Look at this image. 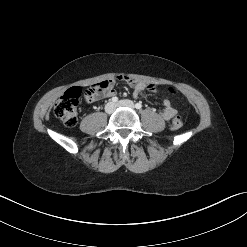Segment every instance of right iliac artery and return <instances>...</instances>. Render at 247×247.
Masks as SVG:
<instances>
[{
	"mask_svg": "<svg viewBox=\"0 0 247 247\" xmlns=\"http://www.w3.org/2000/svg\"><path fill=\"white\" fill-rule=\"evenodd\" d=\"M111 101H112L113 103H116V102L118 101V98H117V97H113V98L111 99Z\"/></svg>",
	"mask_w": 247,
	"mask_h": 247,
	"instance_id": "right-iliac-artery-1",
	"label": "right iliac artery"
}]
</instances>
